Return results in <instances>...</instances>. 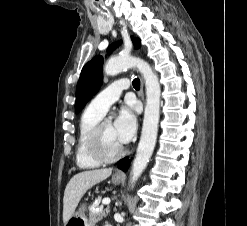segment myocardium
Listing matches in <instances>:
<instances>
[{"instance_id": "myocardium-1", "label": "myocardium", "mask_w": 247, "mask_h": 226, "mask_svg": "<svg viewBox=\"0 0 247 226\" xmlns=\"http://www.w3.org/2000/svg\"><path fill=\"white\" fill-rule=\"evenodd\" d=\"M107 121H100L90 132L87 139V149L89 155L99 163H113L120 159L125 152L124 147L112 156H107L101 148V134Z\"/></svg>"}]
</instances>
